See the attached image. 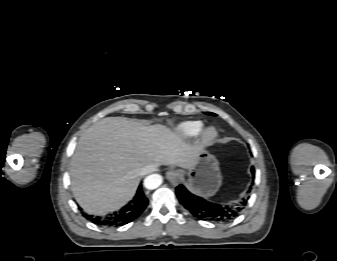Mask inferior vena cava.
<instances>
[{
    "mask_svg": "<svg viewBox=\"0 0 337 261\" xmlns=\"http://www.w3.org/2000/svg\"><path fill=\"white\" fill-rule=\"evenodd\" d=\"M155 170H156L155 166H153V165H147V166H145V167L142 168V170L140 172V175H146V174L151 173V172H153Z\"/></svg>",
    "mask_w": 337,
    "mask_h": 261,
    "instance_id": "obj_1",
    "label": "inferior vena cava"
}]
</instances>
